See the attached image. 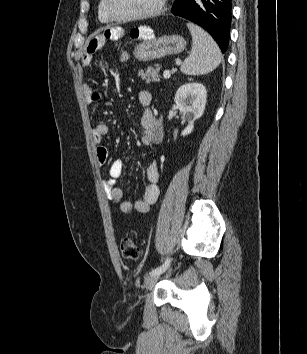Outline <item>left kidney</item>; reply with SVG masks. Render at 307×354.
<instances>
[{
	"label": "left kidney",
	"instance_id": "5707ae66",
	"mask_svg": "<svg viewBox=\"0 0 307 354\" xmlns=\"http://www.w3.org/2000/svg\"><path fill=\"white\" fill-rule=\"evenodd\" d=\"M174 101L176 107L188 120V125L182 131L181 135H188L194 129V122L204 113L207 91L200 83H188L179 87Z\"/></svg>",
	"mask_w": 307,
	"mask_h": 354
}]
</instances>
